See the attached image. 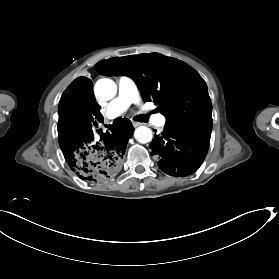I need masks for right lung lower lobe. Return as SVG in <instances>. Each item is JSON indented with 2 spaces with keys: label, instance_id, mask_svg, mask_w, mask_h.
Listing matches in <instances>:
<instances>
[{
  "label": "right lung lower lobe",
  "instance_id": "obj_1",
  "mask_svg": "<svg viewBox=\"0 0 279 279\" xmlns=\"http://www.w3.org/2000/svg\"><path fill=\"white\" fill-rule=\"evenodd\" d=\"M95 103L92 81L75 79L64 91L58 112L59 145L69 168L82 180L104 182L120 170L123 154L134 128L126 118H117L109 131L94 136L92 126L102 122Z\"/></svg>",
  "mask_w": 279,
  "mask_h": 279
}]
</instances>
